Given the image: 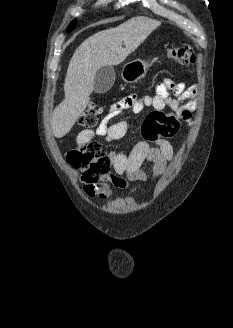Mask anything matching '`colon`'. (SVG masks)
I'll return each instance as SVG.
<instances>
[{
    "label": "colon",
    "instance_id": "colon-1",
    "mask_svg": "<svg viewBox=\"0 0 233 328\" xmlns=\"http://www.w3.org/2000/svg\"><path fill=\"white\" fill-rule=\"evenodd\" d=\"M166 55L181 66L195 62V54L188 45H180L166 49ZM101 108L90 104L80 115L78 122L86 129L94 128L99 120ZM179 118L175 114L154 110L150 112L142 124V137L154 143L160 139L176 135L179 130ZM67 162L75 169L81 170V181L86 189H94L108 175L111 159L98 142L80 143L66 153Z\"/></svg>",
    "mask_w": 233,
    "mask_h": 328
}]
</instances>
